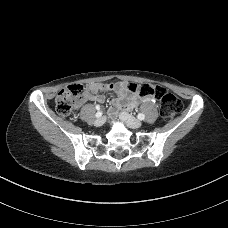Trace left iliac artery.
<instances>
[{
    "mask_svg": "<svg viewBox=\"0 0 228 228\" xmlns=\"http://www.w3.org/2000/svg\"><path fill=\"white\" fill-rule=\"evenodd\" d=\"M137 118H138L139 120H144L145 115H144L143 113H139V114L137 115Z\"/></svg>",
    "mask_w": 228,
    "mask_h": 228,
    "instance_id": "obj_1",
    "label": "left iliac artery"
}]
</instances>
